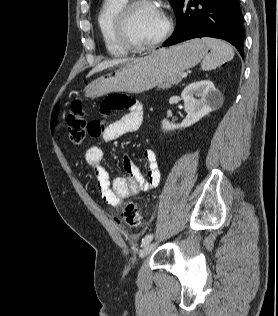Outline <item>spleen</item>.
<instances>
[{
	"label": "spleen",
	"instance_id": "obj_1",
	"mask_svg": "<svg viewBox=\"0 0 278 316\" xmlns=\"http://www.w3.org/2000/svg\"><path fill=\"white\" fill-rule=\"evenodd\" d=\"M210 48V53L207 54L201 64V68L205 71L216 69L222 64L230 61L234 57L233 48L219 39L203 37L201 39Z\"/></svg>",
	"mask_w": 278,
	"mask_h": 316
}]
</instances>
